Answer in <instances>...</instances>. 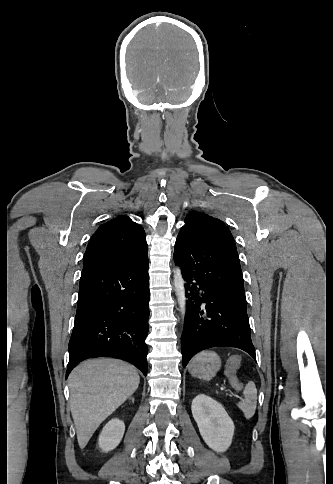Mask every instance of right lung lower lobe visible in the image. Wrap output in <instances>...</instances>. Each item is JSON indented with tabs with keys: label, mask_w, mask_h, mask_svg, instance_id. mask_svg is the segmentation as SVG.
<instances>
[{
	"label": "right lung lower lobe",
	"mask_w": 333,
	"mask_h": 484,
	"mask_svg": "<svg viewBox=\"0 0 333 484\" xmlns=\"http://www.w3.org/2000/svg\"><path fill=\"white\" fill-rule=\"evenodd\" d=\"M149 296L147 252L84 266L66 376L77 363L103 356L133 363L146 375Z\"/></svg>",
	"instance_id": "1"
}]
</instances>
